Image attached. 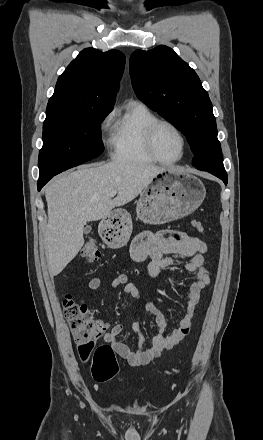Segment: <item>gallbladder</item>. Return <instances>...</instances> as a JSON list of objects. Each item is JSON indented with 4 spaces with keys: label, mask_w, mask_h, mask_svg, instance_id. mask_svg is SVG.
<instances>
[{
    "label": "gallbladder",
    "mask_w": 263,
    "mask_h": 440,
    "mask_svg": "<svg viewBox=\"0 0 263 440\" xmlns=\"http://www.w3.org/2000/svg\"><path fill=\"white\" fill-rule=\"evenodd\" d=\"M91 226L90 225H87L85 228H84V233L85 234H89L90 232H91Z\"/></svg>",
    "instance_id": "1"
}]
</instances>
